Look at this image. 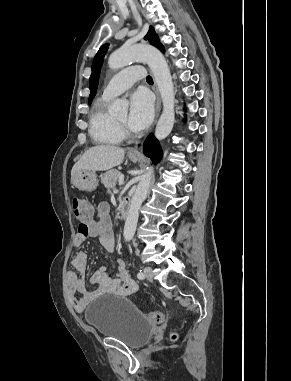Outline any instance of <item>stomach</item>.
<instances>
[{"label": "stomach", "mask_w": 291, "mask_h": 381, "mask_svg": "<svg viewBox=\"0 0 291 381\" xmlns=\"http://www.w3.org/2000/svg\"><path fill=\"white\" fill-rule=\"evenodd\" d=\"M128 157L133 162H137L140 159L138 155H133L131 153L128 154ZM72 183L79 190L91 192L94 191L98 186L97 175L92 171H78L74 175Z\"/></svg>", "instance_id": "stomach-1"}]
</instances>
